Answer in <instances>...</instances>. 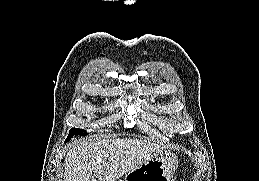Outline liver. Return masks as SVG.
<instances>
[{"label": "liver", "instance_id": "1", "mask_svg": "<svg viewBox=\"0 0 259 181\" xmlns=\"http://www.w3.org/2000/svg\"><path fill=\"white\" fill-rule=\"evenodd\" d=\"M162 150L158 144L131 138L77 143L65 158L63 181H116Z\"/></svg>", "mask_w": 259, "mask_h": 181}]
</instances>
